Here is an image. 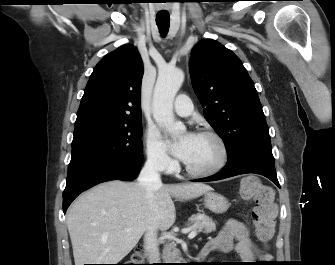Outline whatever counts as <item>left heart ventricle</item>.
Masks as SVG:
<instances>
[{
    "label": "left heart ventricle",
    "mask_w": 335,
    "mask_h": 265,
    "mask_svg": "<svg viewBox=\"0 0 335 265\" xmlns=\"http://www.w3.org/2000/svg\"><path fill=\"white\" fill-rule=\"evenodd\" d=\"M219 156V146L214 139L195 135L185 163L193 169L205 170L212 167Z\"/></svg>",
    "instance_id": "left-heart-ventricle-1"
}]
</instances>
